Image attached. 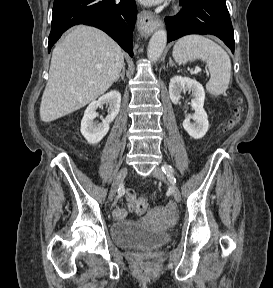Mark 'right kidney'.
Here are the masks:
<instances>
[{"instance_id":"right-kidney-1","label":"right kidney","mask_w":273,"mask_h":288,"mask_svg":"<svg viewBox=\"0 0 273 288\" xmlns=\"http://www.w3.org/2000/svg\"><path fill=\"white\" fill-rule=\"evenodd\" d=\"M109 105V115L100 124H96L94 119L97 116V108L102 105ZM121 104V94L118 91H111L101 96L97 101H93L84 112L81 121V133L90 144L99 143L109 131L110 123L119 113Z\"/></svg>"}]
</instances>
